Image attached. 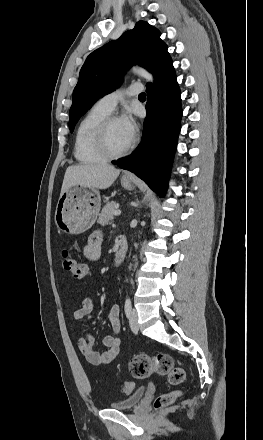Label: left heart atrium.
<instances>
[{
    "label": "left heart atrium",
    "instance_id": "1",
    "mask_svg": "<svg viewBox=\"0 0 263 440\" xmlns=\"http://www.w3.org/2000/svg\"><path fill=\"white\" fill-rule=\"evenodd\" d=\"M119 121L126 136L132 140L137 131V123L133 115L130 112H126L121 116Z\"/></svg>",
    "mask_w": 263,
    "mask_h": 440
}]
</instances>
